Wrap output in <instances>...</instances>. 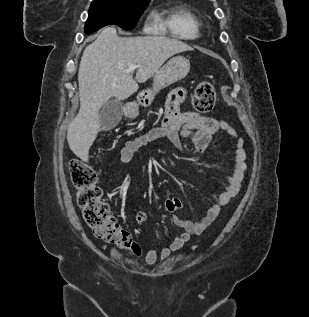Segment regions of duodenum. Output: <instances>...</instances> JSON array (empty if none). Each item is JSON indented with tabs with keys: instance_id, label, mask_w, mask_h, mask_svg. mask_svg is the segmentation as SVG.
Instances as JSON below:
<instances>
[{
	"instance_id": "1",
	"label": "duodenum",
	"mask_w": 309,
	"mask_h": 317,
	"mask_svg": "<svg viewBox=\"0 0 309 317\" xmlns=\"http://www.w3.org/2000/svg\"><path fill=\"white\" fill-rule=\"evenodd\" d=\"M126 114L127 115H130L131 113H132V111H133V107L131 106V105H128L127 107H126Z\"/></svg>"
}]
</instances>
